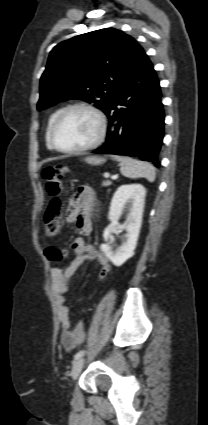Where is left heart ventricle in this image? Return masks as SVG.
Masks as SVG:
<instances>
[{
    "instance_id": "left-heart-ventricle-1",
    "label": "left heart ventricle",
    "mask_w": 208,
    "mask_h": 425,
    "mask_svg": "<svg viewBox=\"0 0 208 425\" xmlns=\"http://www.w3.org/2000/svg\"><path fill=\"white\" fill-rule=\"evenodd\" d=\"M97 133L98 122L94 115L84 110H73L60 121L55 141L61 148H79L92 142Z\"/></svg>"
}]
</instances>
